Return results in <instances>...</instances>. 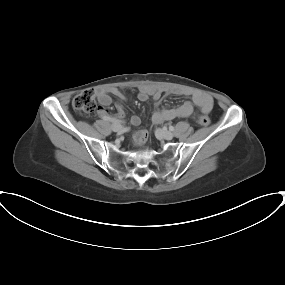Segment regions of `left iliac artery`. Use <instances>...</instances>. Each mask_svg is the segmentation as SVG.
Instances as JSON below:
<instances>
[{
	"mask_svg": "<svg viewBox=\"0 0 285 285\" xmlns=\"http://www.w3.org/2000/svg\"><path fill=\"white\" fill-rule=\"evenodd\" d=\"M169 130H170V131H173V130H174V127L170 125V126H169Z\"/></svg>",
	"mask_w": 285,
	"mask_h": 285,
	"instance_id": "44dca946",
	"label": "left iliac artery"
}]
</instances>
